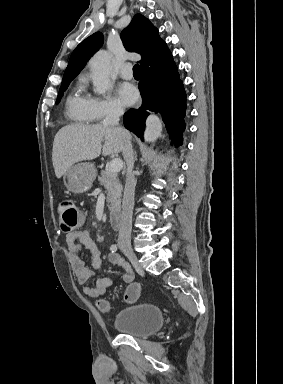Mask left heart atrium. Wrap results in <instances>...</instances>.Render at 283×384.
Masks as SVG:
<instances>
[{
    "mask_svg": "<svg viewBox=\"0 0 283 384\" xmlns=\"http://www.w3.org/2000/svg\"><path fill=\"white\" fill-rule=\"evenodd\" d=\"M117 91L121 101L126 106L134 105L139 98L137 89L128 83L121 84Z\"/></svg>",
    "mask_w": 283,
    "mask_h": 384,
    "instance_id": "obj_1",
    "label": "left heart atrium"
}]
</instances>
